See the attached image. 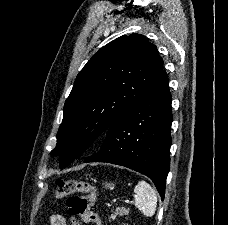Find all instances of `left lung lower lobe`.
<instances>
[{
	"instance_id": "0a47b994",
	"label": "left lung lower lobe",
	"mask_w": 228,
	"mask_h": 225,
	"mask_svg": "<svg viewBox=\"0 0 228 225\" xmlns=\"http://www.w3.org/2000/svg\"><path fill=\"white\" fill-rule=\"evenodd\" d=\"M162 72L151 88L107 130L101 149L84 162H106L148 176L162 199L170 168L171 101Z\"/></svg>"
}]
</instances>
